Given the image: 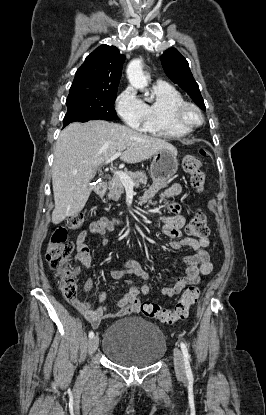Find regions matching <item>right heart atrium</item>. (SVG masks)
<instances>
[{"label":"right heart atrium","mask_w":266,"mask_h":415,"mask_svg":"<svg viewBox=\"0 0 266 415\" xmlns=\"http://www.w3.org/2000/svg\"><path fill=\"white\" fill-rule=\"evenodd\" d=\"M116 110L122 120L130 127L138 129L145 120V104L131 87L117 97Z\"/></svg>","instance_id":"1"}]
</instances>
